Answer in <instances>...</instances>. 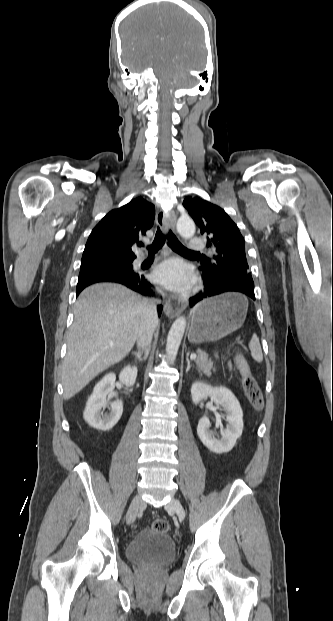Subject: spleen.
Segmentation results:
<instances>
[{
    "instance_id": "3e777b00",
    "label": "spleen",
    "mask_w": 333,
    "mask_h": 621,
    "mask_svg": "<svg viewBox=\"0 0 333 621\" xmlns=\"http://www.w3.org/2000/svg\"><path fill=\"white\" fill-rule=\"evenodd\" d=\"M249 349L251 351V355L252 358L256 361V362H262L263 361V354H262V350H261V346L259 343V339L257 338L256 335H253L250 343H249Z\"/></svg>"
}]
</instances>
